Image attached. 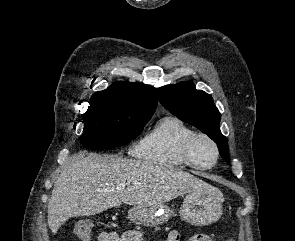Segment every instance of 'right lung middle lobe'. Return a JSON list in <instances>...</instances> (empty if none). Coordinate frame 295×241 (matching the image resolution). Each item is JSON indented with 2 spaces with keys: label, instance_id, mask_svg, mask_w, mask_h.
Listing matches in <instances>:
<instances>
[{
  "label": "right lung middle lobe",
  "instance_id": "1",
  "mask_svg": "<svg viewBox=\"0 0 295 241\" xmlns=\"http://www.w3.org/2000/svg\"><path fill=\"white\" fill-rule=\"evenodd\" d=\"M152 115L117 99L93 95L82 114L85 128L80 140L88 149L122 146L141 134Z\"/></svg>",
  "mask_w": 295,
  "mask_h": 241
}]
</instances>
